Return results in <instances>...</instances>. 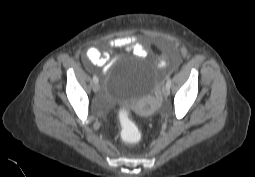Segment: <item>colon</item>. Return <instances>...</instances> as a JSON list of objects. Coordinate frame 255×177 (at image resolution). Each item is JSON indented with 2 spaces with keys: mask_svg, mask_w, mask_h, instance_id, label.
<instances>
[{
  "mask_svg": "<svg viewBox=\"0 0 255 177\" xmlns=\"http://www.w3.org/2000/svg\"><path fill=\"white\" fill-rule=\"evenodd\" d=\"M159 47L164 48L167 45L165 38L160 37L157 40ZM172 55L170 51L160 52V63L163 66L168 65ZM120 122V135L121 139L127 144H135L140 138V131L132 120L130 114L127 111H122L119 116Z\"/></svg>",
  "mask_w": 255,
  "mask_h": 177,
  "instance_id": "colon-1",
  "label": "colon"
}]
</instances>
